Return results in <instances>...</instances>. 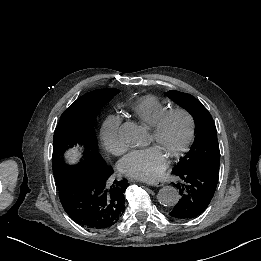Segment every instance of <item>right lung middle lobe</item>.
Returning a JSON list of instances; mask_svg holds the SVG:
<instances>
[{
    "label": "right lung middle lobe",
    "mask_w": 261,
    "mask_h": 261,
    "mask_svg": "<svg viewBox=\"0 0 261 261\" xmlns=\"http://www.w3.org/2000/svg\"><path fill=\"white\" fill-rule=\"evenodd\" d=\"M117 93L119 90L112 88L89 92L72 103L61 115L53 137L52 169L56 183L73 168L92 167L104 162L97 149L93 124L101 108ZM76 144L84 145L82 161L77 166H69L64 162V154Z\"/></svg>",
    "instance_id": "1"
}]
</instances>
